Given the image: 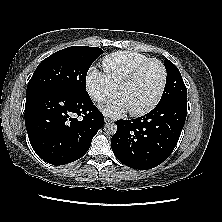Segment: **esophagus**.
<instances>
[{
    "label": "esophagus",
    "mask_w": 222,
    "mask_h": 222,
    "mask_svg": "<svg viewBox=\"0 0 222 222\" xmlns=\"http://www.w3.org/2000/svg\"><path fill=\"white\" fill-rule=\"evenodd\" d=\"M105 122L106 123H112V122H114V120L109 118V117H105Z\"/></svg>",
    "instance_id": "1"
}]
</instances>
